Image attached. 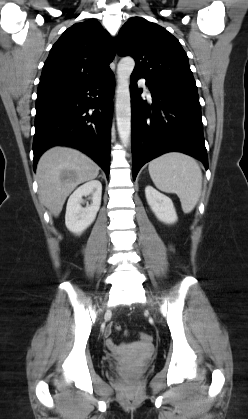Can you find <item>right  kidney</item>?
<instances>
[{"label": "right kidney", "mask_w": 248, "mask_h": 419, "mask_svg": "<svg viewBox=\"0 0 248 419\" xmlns=\"http://www.w3.org/2000/svg\"><path fill=\"white\" fill-rule=\"evenodd\" d=\"M88 195H91L92 203L83 208V196ZM101 195L102 184L98 180H91L73 192L68 199L65 215V224L69 231L80 235L94 222L100 209Z\"/></svg>", "instance_id": "right-kidney-1"}]
</instances>
